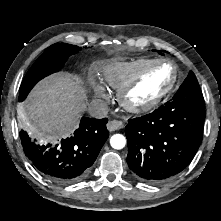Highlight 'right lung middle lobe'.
Wrapping results in <instances>:
<instances>
[{"label": "right lung middle lobe", "instance_id": "obj_1", "mask_svg": "<svg viewBox=\"0 0 221 221\" xmlns=\"http://www.w3.org/2000/svg\"><path fill=\"white\" fill-rule=\"evenodd\" d=\"M81 48L66 43H56L35 61L27 72L19 91V101H23L33 86L42 78L59 71L66 59L77 53Z\"/></svg>", "mask_w": 221, "mask_h": 221}]
</instances>
